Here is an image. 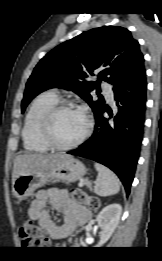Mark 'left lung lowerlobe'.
Segmentation results:
<instances>
[{"mask_svg": "<svg viewBox=\"0 0 162 261\" xmlns=\"http://www.w3.org/2000/svg\"><path fill=\"white\" fill-rule=\"evenodd\" d=\"M146 71L144 61L114 84L117 111L104 105L95 113L92 136L68 154L97 161L120 178L129 195L138 163L146 111ZM107 111L111 119L103 117Z\"/></svg>", "mask_w": 162, "mask_h": 261, "instance_id": "left-lung-lower-lobe-1", "label": "left lung lower lobe"}]
</instances>
